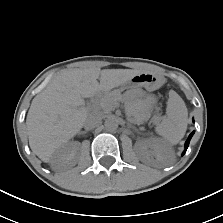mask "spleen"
Segmentation results:
<instances>
[{
	"mask_svg": "<svg viewBox=\"0 0 223 223\" xmlns=\"http://www.w3.org/2000/svg\"><path fill=\"white\" fill-rule=\"evenodd\" d=\"M167 113L170 119L171 132L179 140L184 136L187 129L188 112L184 101L174 91L170 92Z\"/></svg>",
	"mask_w": 223,
	"mask_h": 223,
	"instance_id": "3e777b00",
	"label": "spleen"
}]
</instances>
